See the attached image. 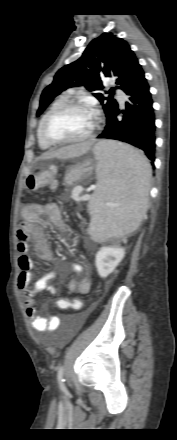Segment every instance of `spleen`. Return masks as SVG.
Returning <instances> with one entry per match:
<instances>
[{"label": "spleen", "instance_id": "spleen-1", "mask_svg": "<svg viewBox=\"0 0 177 440\" xmlns=\"http://www.w3.org/2000/svg\"><path fill=\"white\" fill-rule=\"evenodd\" d=\"M94 153L98 182L88 206V233L101 242L139 227L147 208L151 166L140 151L114 141L99 142Z\"/></svg>", "mask_w": 177, "mask_h": 440}]
</instances>
